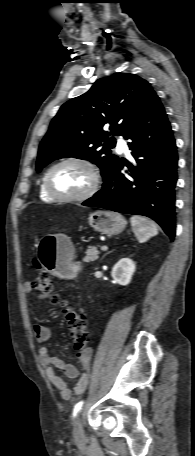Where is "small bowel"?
<instances>
[{"mask_svg": "<svg viewBox=\"0 0 195 456\" xmlns=\"http://www.w3.org/2000/svg\"><path fill=\"white\" fill-rule=\"evenodd\" d=\"M24 292L25 293H30L31 292V286L26 284L24 285ZM56 296V295H53ZM47 295H39L40 299L46 298ZM34 331L37 340L40 343H44L49 339L50 332L47 327L41 324H35L34 325ZM91 358H92V349L89 348L85 351L84 355L80 357L81 364L84 368H89L91 364ZM39 359L40 362L45 369V373L47 375V378L49 381L52 383V385L56 388L58 391L60 397L62 399L68 400L72 397L73 393L68 387L67 383L59 377L55 369L61 370L64 375L70 379H75L76 385L74 387V394L78 395L84 392L87 382H88V376L86 373H81L74 365L68 364L64 362L63 360L59 359L58 357L52 355L49 351V349L46 346H42L39 349Z\"/></svg>", "mask_w": 195, "mask_h": 456, "instance_id": "small-bowel-1", "label": "small bowel"}]
</instances>
